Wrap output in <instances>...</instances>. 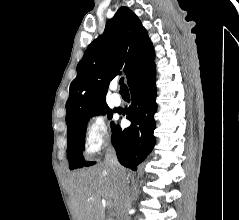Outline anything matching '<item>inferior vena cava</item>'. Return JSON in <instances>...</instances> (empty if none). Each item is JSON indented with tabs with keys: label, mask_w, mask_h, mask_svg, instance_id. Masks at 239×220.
I'll return each mask as SVG.
<instances>
[{
	"label": "inferior vena cava",
	"mask_w": 239,
	"mask_h": 220,
	"mask_svg": "<svg viewBox=\"0 0 239 220\" xmlns=\"http://www.w3.org/2000/svg\"><path fill=\"white\" fill-rule=\"evenodd\" d=\"M105 163L111 167L118 178V184L121 193V207L119 213V220H130L128 217V211L131 208V199L129 187L126 184V178L124 175L123 167L118 162L116 152L112 146H109L105 155Z\"/></svg>",
	"instance_id": "602c4592"
}]
</instances>
